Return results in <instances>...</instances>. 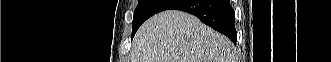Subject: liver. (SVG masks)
<instances>
[{"label":"liver","instance_id":"6515ba94","mask_svg":"<svg viewBox=\"0 0 331 62\" xmlns=\"http://www.w3.org/2000/svg\"><path fill=\"white\" fill-rule=\"evenodd\" d=\"M235 52L229 38L195 16L168 10L139 28L131 62H235Z\"/></svg>","mask_w":331,"mask_h":62}]
</instances>
